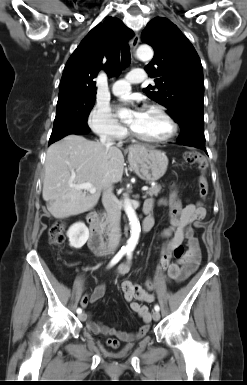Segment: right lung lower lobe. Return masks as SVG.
I'll return each mask as SVG.
<instances>
[{
    "label": "right lung lower lobe",
    "mask_w": 247,
    "mask_h": 385,
    "mask_svg": "<svg viewBox=\"0 0 247 385\" xmlns=\"http://www.w3.org/2000/svg\"><path fill=\"white\" fill-rule=\"evenodd\" d=\"M90 132V129L88 126H82V125H75V126H69L57 131H52L49 145L57 140H60L64 136L68 134H77V135H83Z\"/></svg>",
    "instance_id": "right-lung-lower-lobe-1"
}]
</instances>
